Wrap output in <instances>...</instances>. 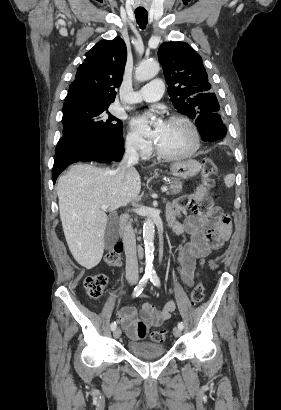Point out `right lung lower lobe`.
<instances>
[{"instance_id": "1", "label": "right lung lower lobe", "mask_w": 281, "mask_h": 410, "mask_svg": "<svg viewBox=\"0 0 281 410\" xmlns=\"http://www.w3.org/2000/svg\"><path fill=\"white\" fill-rule=\"evenodd\" d=\"M123 137L116 140L84 141L56 149L52 179L55 183L58 175L70 164L76 162L98 161L110 163L120 161L124 153Z\"/></svg>"}]
</instances>
